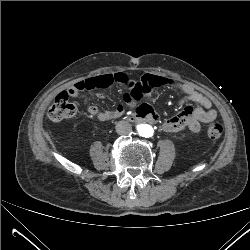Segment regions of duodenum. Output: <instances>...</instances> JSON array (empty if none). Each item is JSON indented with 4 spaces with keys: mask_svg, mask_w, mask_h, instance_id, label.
Segmentation results:
<instances>
[{
    "mask_svg": "<svg viewBox=\"0 0 250 250\" xmlns=\"http://www.w3.org/2000/svg\"><path fill=\"white\" fill-rule=\"evenodd\" d=\"M113 117H124V119L132 123H156L158 121L153 110H141L135 115H128L124 109H119L114 112H102L98 118L100 121H108Z\"/></svg>",
    "mask_w": 250,
    "mask_h": 250,
    "instance_id": "410a0bca",
    "label": "duodenum"
}]
</instances>
